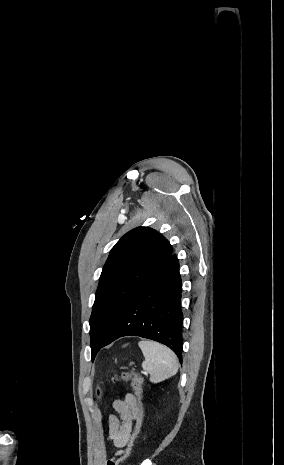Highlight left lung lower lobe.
<instances>
[{
	"label": "left lung lower lobe",
	"instance_id": "1",
	"mask_svg": "<svg viewBox=\"0 0 284 465\" xmlns=\"http://www.w3.org/2000/svg\"><path fill=\"white\" fill-rule=\"evenodd\" d=\"M181 277L172 253L160 270L127 303L102 347L123 336H140L172 349L182 363Z\"/></svg>",
	"mask_w": 284,
	"mask_h": 465
}]
</instances>
